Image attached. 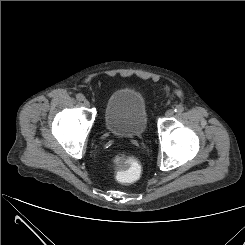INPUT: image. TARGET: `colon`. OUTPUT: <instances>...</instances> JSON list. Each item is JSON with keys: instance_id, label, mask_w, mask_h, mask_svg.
Here are the masks:
<instances>
[{"instance_id": "5ec220e1", "label": "colon", "mask_w": 245, "mask_h": 245, "mask_svg": "<svg viewBox=\"0 0 245 245\" xmlns=\"http://www.w3.org/2000/svg\"><path fill=\"white\" fill-rule=\"evenodd\" d=\"M113 163L119 166L116 177L120 183L131 184L137 180L139 164L135 158L120 154L114 158Z\"/></svg>"}]
</instances>
